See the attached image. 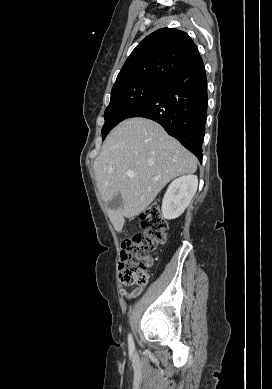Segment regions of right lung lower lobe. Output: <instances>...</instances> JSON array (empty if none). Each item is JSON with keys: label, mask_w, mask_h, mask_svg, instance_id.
Listing matches in <instances>:
<instances>
[{"label": "right lung lower lobe", "mask_w": 272, "mask_h": 389, "mask_svg": "<svg viewBox=\"0 0 272 389\" xmlns=\"http://www.w3.org/2000/svg\"><path fill=\"white\" fill-rule=\"evenodd\" d=\"M207 103V79L202 64L167 83L127 118L144 117L158 122L201 162Z\"/></svg>", "instance_id": "1"}]
</instances>
